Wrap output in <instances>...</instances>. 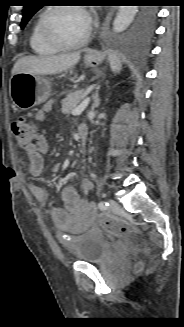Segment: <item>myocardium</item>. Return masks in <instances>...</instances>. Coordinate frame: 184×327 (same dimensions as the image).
<instances>
[{"mask_svg":"<svg viewBox=\"0 0 184 327\" xmlns=\"http://www.w3.org/2000/svg\"><path fill=\"white\" fill-rule=\"evenodd\" d=\"M65 9H76L84 12L87 14L82 7L79 6H68V5H57L48 8L41 20V32L45 40L50 43L52 46L60 49V50H69V49H76L79 47L84 46L91 38L92 35V25L89 18V26L87 33L78 41L76 42H67L60 38L52 27V17L55 12Z\"/></svg>","mask_w":184,"mask_h":327,"instance_id":"myocardium-1","label":"myocardium"}]
</instances>
